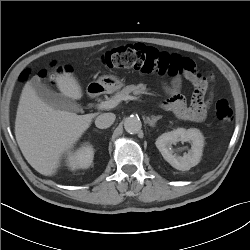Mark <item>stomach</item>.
Returning <instances> with one entry per match:
<instances>
[{"mask_svg":"<svg viewBox=\"0 0 250 250\" xmlns=\"http://www.w3.org/2000/svg\"><path fill=\"white\" fill-rule=\"evenodd\" d=\"M96 83L107 93H113L124 86V82L113 75H103Z\"/></svg>","mask_w":250,"mask_h":250,"instance_id":"1","label":"stomach"}]
</instances>
